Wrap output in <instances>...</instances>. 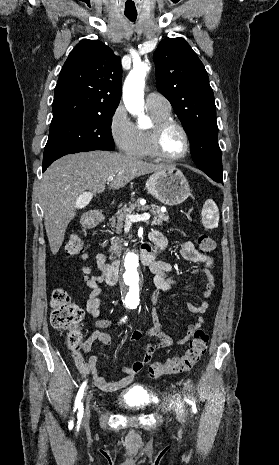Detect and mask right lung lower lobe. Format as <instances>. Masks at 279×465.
I'll list each match as a JSON object with an SVG mask.
<instances>
[{
    "label": "right lung lower lobe",
    "mask_w": 279,
    "mask_h": 465,
    "mask_svg": "<svg viewBox=\"0 0 279 465\" xmlns=\"http://www.w3.org/2000/svg\"><path fill=\"white\" fill-rule=\"evenodd\" d=\"M92 150H109L106 147H88L85 151H92ZM48 166H42V171L44 172Z\"/></svg>",
    "instance_id": "98d812e1"
}]
</instances>
